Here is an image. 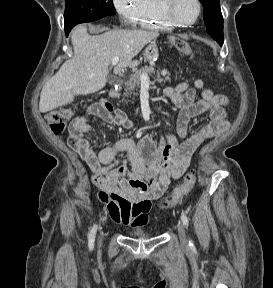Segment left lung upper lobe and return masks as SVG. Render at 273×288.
I'll return each instance as SVG.
<instances>
[{"instance_id":"obj_1","label":"left lung upper lobe","mask_w":273,"mask_h":288,"mask_svg":"<svg viewBox=\"0 0 273 288\" xmlns=\"http://www.w3.org/2000/svg\"><path fill=\"white\" fill-rule=\"evenodd\" d=\"M204 10L207 32L215 39H223V17L219 0H200Z\"/></svg>"}]
</instances>
